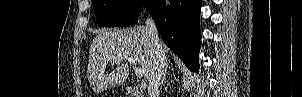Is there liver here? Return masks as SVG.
<instances>
[{
	"mask_svg": "<svg viewBox=\"0 0 302 97\" xmlns=\"http://www.w3.org/2000/svg\"><path fill=\"white\" fill-rule=\"evenodd\" d=\"M166 53L167 47L164 45ZM122 57L114 61V58ZM126 58H134L148 79L153 63V48L146 27L129 29H102L93 39L89 54L88 80L92 89L100 93L108 87L123 84L129 75ZM119 63L109 74H105L108 63ZM121 63V64H120Z\"/></svg>",
	"mask_w": 302,
	"mask_h": 97,
	"instance_id": "6515ba94",
	"label": "liver"
}]
</instances>
